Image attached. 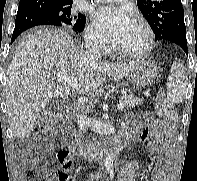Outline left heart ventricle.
Listing matches in <instances>:
<instances>
[{"label":"left heart ventricle","instance_id":"1","mask_svg":"<svg viewBox=\"0 0 197 181\" xmlns=\"http://www.w3.org/2000/svg\"><path fill=\"white\" fill-rule=\"evenodd\" d=\"M147 37L144 29L132 21L127 30L116 41V44L129 50H139L146 43Z\"/></svg>","mask_w":197,"mask_h":181}]
</instances>
